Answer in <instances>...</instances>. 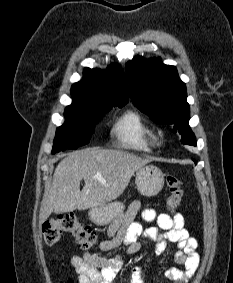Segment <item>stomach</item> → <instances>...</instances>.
<instances>
[{"mask_svg": "<svg viewBox=\"0 0 233 283\" xmlns=\"http://www.w3.org/2000/svg\"><path fill=\"white\" fill-rule=\"evenodd\" d=\"M135 183L140 194L146 197L156 196L163 188L164 174L154 165H145L137 170ZM123 210L122 202H113L93 207L88 214L95 224L106 225L118 217Z\"/></svg>", "mask_w": 233, "mask_h": 283, "instance_id": "0dacf381", "label": "stomach"}]
</instances>
